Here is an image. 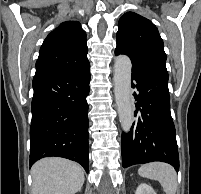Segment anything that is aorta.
<instances>
[{
	"label": "aorta",
	"mask_w": 201,
	"mask_h": 194,
	"mask_svg": "<svg viewBox=\"0 0 201 194\" xmlns=\"http://www.w3.org/2000/svg\"><path fill=\"white\" fill-rule=\"evenodd\" d=\"M131 60L126 55H119L114 64V94L121 127L129 132L133 123L131 96Z\"/></svg>",
	"instance_id": "obj_1"
}]
</instances>
